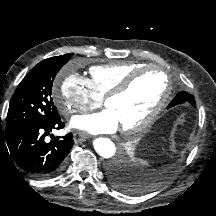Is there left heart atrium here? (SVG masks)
Instances as JSON below:
<instances>
[{"instance_id":"39dd6f15","label":"left heart atrium","mask_w":216,"mask_h":216,"mask_svg":"<svg viewBox=\"0 0 216 216\" xmlns=\"http://www.w3.org/2000/svg\"><path fill=\"white\" fill-rule=\"evenodd\" d=\"M70 124L91 134H103L116 131L119 121L115 113L107 108L95 114L75 116Z\"/></svg>"}]
</instances>
